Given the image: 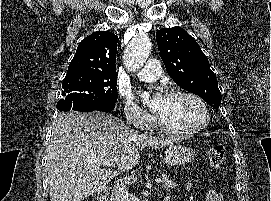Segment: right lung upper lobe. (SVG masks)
I'll list each match as a JSON object with an SVG mask.
<instances>
[{
	"instance_id": "right-lung-upper-lobe-1",
	"label": "right lung upper lobe",
	"mask_w": 271,
	"mask_h": 201,
	"mask_svg": "<svg viewBox=\"0 0 271 201\" xmlns=\"http://www.w3.org/2000/svg\"><path fill=\"white\" fill-rule=\"evenodd\" d=\"M118 41L119 38L112 32L96 31L92 33L78 45L68 72L116 74Z\"/></svg>"
}]
</instances>
